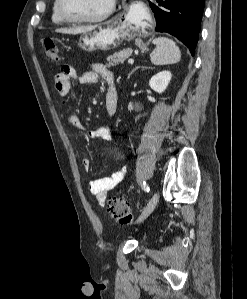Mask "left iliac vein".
<instances>
[{"label":"left iliac vein","instance_id":"1","mask_svg":"<svg viewBox=\"0 0 247 299\" xmlns=\"http://www.w3.org/2000/svg\"><path fill=\"white\" fill-rule=\"evenodd\" d=\"M157 202H158V194L154 193L151 199L149 200V202L147 203L146 207L144 208L142 214L138 218L137 223L143 221L146 217H148L152 213V211L157 205Z\"/></svg>","mask_w":247,"mask_h":299}]
</instances>
